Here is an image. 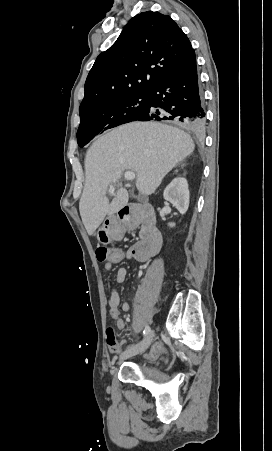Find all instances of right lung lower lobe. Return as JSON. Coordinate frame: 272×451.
I'll list each match as a JSON object with an SVG mask.
<instances>
[{
    "instance_id": "obj_1",
    "label": "right lung lower lobe",
    "mask_w": 272,
    "mask_h": 451,
    "mask_svg": "<svg viewBox=\"0 0 272 451\" xmlns=\"http://www.w3.org/2000/svg\"><path fill=\"white\" fill-rule=\"evenodd\" d=\"M148 95L149 109L137 120H173L189 131L197 132L204 129L206 113L198 80L195 52L172 68ZM154 108L161 110L155 111Z\"/></svg>"
}]
</instances>
